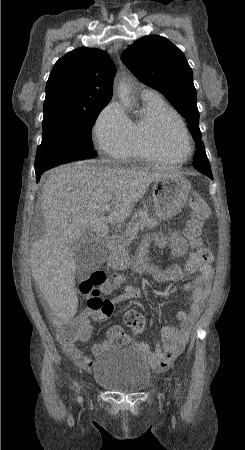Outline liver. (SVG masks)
<instances>
[{
    "label": "liver",
    "mask_w": 245,
    "mask_h": 450,
    "mask_svg": "<svg viewBox=\"0 0 245 450\" xmlns=\"http://www.w3.org/2000/svg\"><path fill=\"white\" fill-rule=\"evenodd\" d=\"M180 174L165 169L114 168L68 164L48 172L41 207L45 234L30 250L36 284L50 308L61 318H72L77 309L74 289L76 256L71 245L81 236L105 237L108 223L121 225L156 179ZM112 206L109 216L103 207Z\"/></svg>",
    "instance_id": "6515ba94"
}]
</instances>
